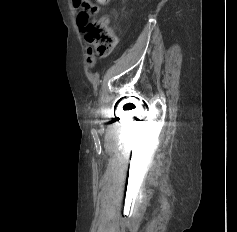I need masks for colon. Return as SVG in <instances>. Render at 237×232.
<instances>
[{
    "instance_id": "obj_1",
    "label": "colon",
    "mask_w": 237,
    "mask_h": 232,
    "mask_svg": "<svg viewBox=\"0 0 237 232\" xmlns=\"http://www.w3.org/2000/svg\"><path fill=\"white\" fill-rule=\"evenodd\" d=\"M112 0H73L75 7L81 8L78 15V24L86 34V39L94 45L99 56L109 55L115 47V36L106 26L103 19H97V5H106Z\"/></svg>"
}]
</instances>
